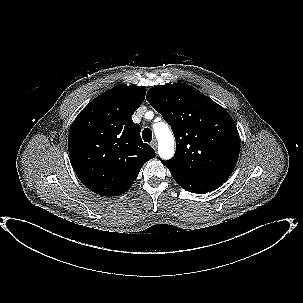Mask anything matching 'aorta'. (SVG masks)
<instances>
[{"instance_id":"obj_1","label":"aorta","mask_w":303,"mask_h":303,"mask_svg":"<svg viewBox=\"0 0 303 303\" xmlns=\"http://www.w3.org/2000/svg\"><path fill=\"white\" fill-rule=\"evenodd\" d=\"M154 132L158 140V153L162 159L168 160L174 155V137L166 123L154 125Z\"/></svg>"}]
</instances>
